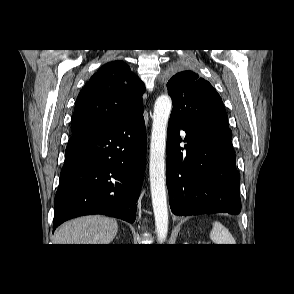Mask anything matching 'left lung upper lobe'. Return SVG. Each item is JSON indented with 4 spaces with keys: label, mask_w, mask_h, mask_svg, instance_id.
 <instances>
[{
    "label": "left lung upper lobe",
    "mask_w": 294,
    "mask_h": 294,
    "mask_svg": "<svg viewBox=\"0 0 294 294\" xmlns=\"http://www.w3.org/2000/svg\"><path fill=\"white\" fill-rule=\"evenodd\" d=\"M167 88L173 101L170 116L193 127L230 130L221 97L198 74L190 70L178 72L168 81Z\"/></svg>",
    "instance_id": "1"
}]
</instances>
